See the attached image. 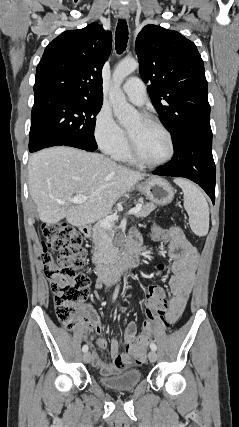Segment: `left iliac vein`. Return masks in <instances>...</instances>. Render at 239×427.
Segmentation results:
<instances>
[{
    "label": "left iliac vein",
    "mask_w": 239,
    "mask_h": 427,
    "mask_svg": "<svg viewBox=\"0 0 239 427\" xmlns=\"http://www.w3.org/2000/svg\"><path fill=\"white\" fill-rule=\"evenodd\" d=\"M150 362H155L157 360V354L154 350H151L148 355Z\"/></svg>",
    "instance_id": "1"
}]
</instances>
